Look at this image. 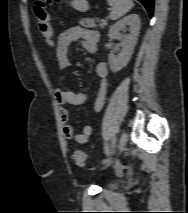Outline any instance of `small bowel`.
<instances>
[{
	"label": "small bowel",
	"instance_id": "1",
	"mask_svg": "<svg viewBox=\"0 0 188 213\" xmlns=\"http://www.w3.org/2000/svg\"><path fill=\"white\" fill-rule=\"evenodd\" d=\"M78 40L82 41V45L88 53L95 54L97 52L99 35L95 30L80 26L69 28L59 36L56 45V58L60 69L64 70L69 67V47ZM94 69L99 80L94 101V110L100 112L104 107L107 96L108 70L106 64L101 61L95 63ZM55 99L59 104V113L65 139L80 144L87 143L93 132L92 127L90 125H85L80 133H76L70 123L69 111L66 108V105H81L85 103V95L72 90L59 88L55 91Z\"/></svg>",
	"mask_w": 188,
	"mask_h": 213
}]
</instances>
